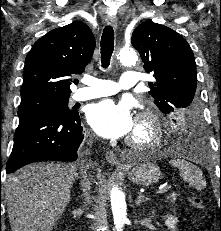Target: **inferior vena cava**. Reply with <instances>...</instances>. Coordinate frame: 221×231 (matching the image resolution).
<instances>
[{
  "mask_svg": "<svg viewBox=\"0 0 221 231\" xmlns=\"http://www.w3.org/2000/svg\"><path fill=\"white\" fill-rule=\"evenodd\" d=\"M81 175V186L84 196V204L90 203V189H91V182L87 178L86 169L81 168L80 170Z\"/></svg>",
  "mask_w": 221,
  "mask_h": 231,
  "instance_id": "602c4592",
  "label": "inferior vena cava"
}]
</instances>
